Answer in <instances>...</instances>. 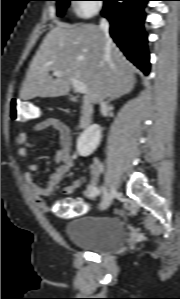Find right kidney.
Returning a JSON list of instances; mask_svg holds the SVG:
<instances>
[{
    "instance_id": "ca27d5eb",
    "label": "right kidney",
    "mask_w": 180,
    "mask_h": 299,
    "mask_svg": "<svg viewBox=\"0 0 180 299\" xmlns=\"http://www.w3.org/2000/svg\"><path fill=\"white\" fill-rule=\"evenodd\" d=\"M101 130L99 125L93 124L84 130L77 139V151L80 156L91 155L101 142Z\"/></svg>"
}]
</instances>
